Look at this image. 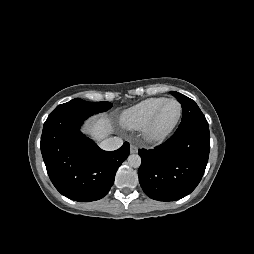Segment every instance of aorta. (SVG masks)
<instances>
[{
    "instance_id": "aorta-1",
    "label": "aorta",
    "mask_w": 254,
    "mask_h": 254,
    "mask_svg": "<svg viewBox=\"0 0 254 254\" xmlns=\"http://www.w3.org/2000/svg\"><path fill=\"white\" fill-rule=\"evenodd\" d=\"M127 160L131 167L138 168L141 165V157L138 154L129 155Z\"/></svg>"
}]
</instances>
